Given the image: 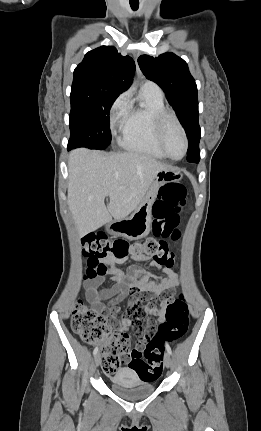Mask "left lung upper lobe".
Listing matches in <instances>:
<instances>
[{
    "instance_id": "obj_1",
    "label": "left lung upper lobe",
    "mask_w": 261,
    "mask_h": 431,
    "mask_svg": "<svg viewBox=\"0 0 261 431\" xmlns=\"http://www.w3.org/2000/svg\"><path fill=\"white\" fill-rule=\"evenodd\" d=\"M139 66L147 79L157 83L165 92L169 103L176 111L188 137L187 160H200L197 85L186 62L173 53H164L156 58L142 55Z\"/></svg>"
}]
</instances>
